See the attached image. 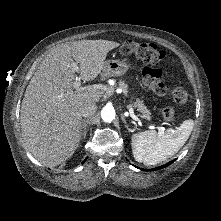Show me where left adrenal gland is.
<instances>
[{"instance_id": "a2214340", "label": "left adrenal gland", "mask_w": 221, "mask_h": 221, "mask_svg": "<svg viewBox=\"0 0 221 221\" xmlns=\"http://www.w3.org/2000/svg\"><path fill=\"white\" fill-rule=\"evenodd\" d=\"M122 121L125 124V127L128 129L127 121L125 120V117L122 115Z\"/></svg>"}]
</instances>
